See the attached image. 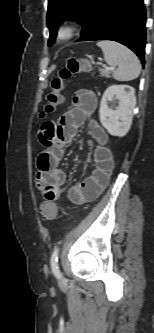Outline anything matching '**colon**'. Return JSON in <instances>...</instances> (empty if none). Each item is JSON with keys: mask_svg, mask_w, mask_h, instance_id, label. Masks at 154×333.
I'll return each mask as SVG.
<instances>
[{"mask_svg": "<svg viewBox=\"0 0 154 333\" xmlns=\"http://www.w3.org/2000/svg\"><path fill=\"white\" fill-rule=\"evenodd\" d=\"M90 64L84 59L71 58L63 69H61L59 75L51 81L50 92L46 95V102L44 104L41 116L51 114L56 111L57 107L63 102V88L64 81L70 77L88 71ZM39 211L43 219L47 221L54 220L58 214V208L54 202L45 200L41 203Z\"/></svg>", "mask_w": 154, "mask_h": 333, "instance_id": "colon-1", "label": "colon"}]
</instances>
